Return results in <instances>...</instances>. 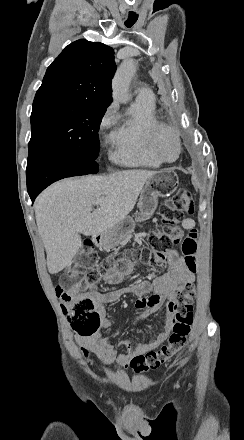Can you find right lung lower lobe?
I'll return each mask as SVG.
<instances>
[{"mask_svg": "<svg viewBox=\"0 0 244 440\" xmlns=\"http://www.w3.org/2000/svg\"><path fill=\"white\" fill-rule=\"evenodd\" d=\"M97 172L95 160H81L63 152L34 151L29 153L27 161V191L34 201L41 191L57 180Z\"/></svg>", "mask_w": 244, "mask_h": 440, "instance_id": "obj_1", "label": "right lung lower lobe"}]
</instances>
